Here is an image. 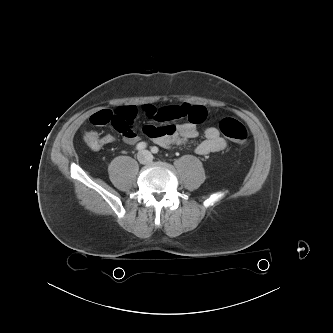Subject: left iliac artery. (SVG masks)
Segmentation results:
<instances>
[{
    "label": "left iliac artery",
    "mask_w": 333,
    "mask_h": 333,
    "mask_svg": "<svg viewBox=\"0 0 333 333\" xmlns=\"http://www.w3.org/2000/svg\"><path fill=\"white\" fill-rule=\"evenodd\" d=\"M151 152L154 153V154H157V153L159 152V148L156 147V146H153V147L151 148Z\"/></svg>",
    "instance_id": "obj_1"
}]
</instances>
